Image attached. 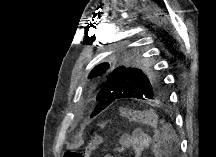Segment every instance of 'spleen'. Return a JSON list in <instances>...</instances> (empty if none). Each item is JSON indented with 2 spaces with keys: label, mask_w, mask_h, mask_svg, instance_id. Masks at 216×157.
Segmentation results:
<instances>
[{
  "label": "spleen",
  "mask_w": 216,
  "mask_h": 157,
  "mask_svg": "<svg viewBox=\"0 0 216 157\" xmlns=\"http://www.w3.org/2000/svg\"><path fill=\"white\" fill-rule=\"evenodd\" d=\"M162 141L165 146L172 145L175 143V145H178V139L174 131L171 130L169 134H162Z\"/></svg>",
  "instance_id": "obj_1"
}]
</instances>
